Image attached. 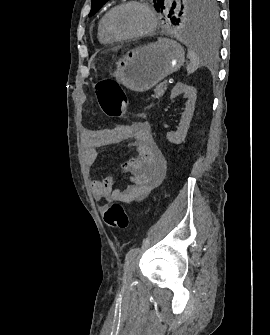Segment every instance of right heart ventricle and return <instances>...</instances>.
<instances>
[{
    "label": "right heart ventricle",
    "mask_w": 270,
    "mask_h": 335,
    "mask_svg": "<svg viewBox=\"0 0 270 335\" xmlns=\"http://www.w3.org/2000/svg\"><path fill=\"white\" fill-rule=\"evenodd\" d=\"M105 17L106 14H104L100 21H99V25H98V38L100 40L101 43L103 44H111L114 41H116L115 38L111 37L105 30V26H104V21H105Z\"/></svg>",
    "instance_id": "right-heart-ventricle-1"
}]
</instances>
